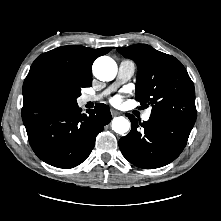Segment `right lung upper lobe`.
Wrapping results in <instances>:
<instances>
[{
    "instance_id": "right-lung-upper-lobe-1",
    "label": "right lung upper lobe",
    "mask_w": 221,
    "mask_h": 221,
    "mask_svg": "<svg viewBox=\"0 0 221 221\" xmlns=\"http://www.w3.org/2000/svg\"><path fill=\"white\" fill-rule=\"evenodd\" d=\"M110 50L69 45L41 54L23 84L22 119L66 103L67 87L72 83L91 86L94 60Z\"/></svg>"
}]
</instances>
